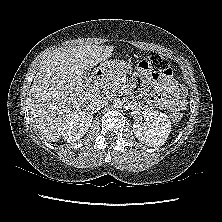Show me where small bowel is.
Listing matches in <instances>:
<instances>
[{
  "instance_id": "c3829d8e",
  "label": "small bowel",
  "mask_w": 222,
  "mask_h": 222,
  "mask_svg": "<svg viewBox=\"0 0 222 222\" xmlns=\"http://www.w3.org/2000/svg\"><path fill=\"white\" fill-rule=\"evenodd\" d=\"M146 85H151L154 88V92L147 98L148 105L166 111H177L184 108V89L173 79L170 68L160 75L138 73L137 90L140 93V98H144Z\"/></svg>"
}]
</instances>
